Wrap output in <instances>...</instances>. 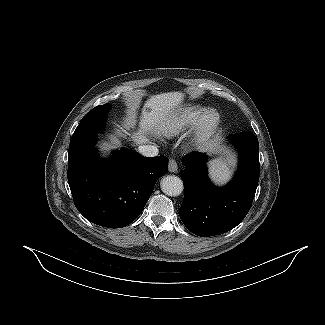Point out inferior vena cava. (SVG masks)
I'll return each instance as SVG.
<instances>
[{
  "label": "inferior vena cava",
  "instance_id": "1",
  "mask_svg": "<svg viewBox=\"0 0 325 325\" xmlns=\"http://www.w3.org/2000/svg\"><path fill=\"white\" fill-rule=\"evenodd\" d=\"M138 150L145 157H154L158 154V148L153 145H142Z\"/></svg>",
  "mask_w": 325,
  "mask_h": 325
}]
</instances>
